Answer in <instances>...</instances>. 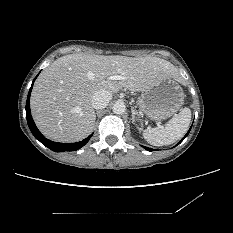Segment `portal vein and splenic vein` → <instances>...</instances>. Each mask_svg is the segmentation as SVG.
Wrapping results in <instances>:
<instances>
[{
    "instance_id": "obj_1",
    "label": "portal vein and splenic vein",
    "mask_w": 233,
    "mask_h": 233,
    "mask_svg": "<svg viewBox=\"0 0 233 233\" xmlns=\"http://www.w3.org/2000/svg\"><path fill=\"white\" fill-rule=\"evenodd\" d=\"M110 79H112V80H121V79H123V77L120 76V75H114V76L110 77Z\"/></svg>"
}]
</instances>
